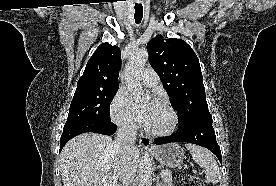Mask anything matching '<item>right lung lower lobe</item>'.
<instances>
[{
    "instance_id": "right-lung-lower-lobe-1",
    "label": "right lung lower lobe",
    "mask_w": 276,
    "mask_h": 186,
    "mask_svg": "<svg viewBox=\"0 0 276 186\" xmlns=\"http://www.w3.org/2000/svg\"><path fill=\"white\" fill-rule=\"evenodd\" d=\"M117 127L111 121L109 122H98V121H78L69 124H65L63 133L61 136L60 151L64 145L73 137L86 133L94 132L103 135H112L115 133Z\"/></svg>"
}]
</instances>
